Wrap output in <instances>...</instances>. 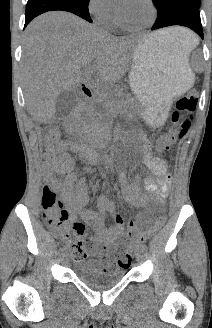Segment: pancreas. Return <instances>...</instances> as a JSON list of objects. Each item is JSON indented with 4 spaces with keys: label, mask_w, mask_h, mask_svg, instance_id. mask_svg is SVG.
I'll use <instances>...</instances> for the list:
<instances>
[{
    "label": "pancreas",
    "mask_w": 212,
    "mask_h": 328,
    "mask_svg": "<svg viewBox=\"0 0 212 328\" xmlns=\"http://www.w3.org/2000/svg\"><path fill=\"white\" fill-rule=\"evenodd\" d=\"M98 100L103 104L104 114L96 112L93 103H86L77 118V129L87 140L101 137L103 124L108 117L118 113L120 109H130L136 106L132 98L120 101L115 91L101 95Z\"/></svg>",
    "instance_id": "1"
}]
</instances>
